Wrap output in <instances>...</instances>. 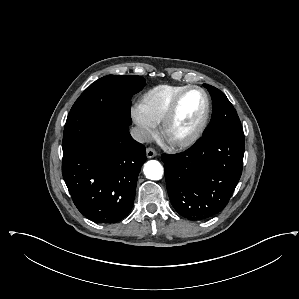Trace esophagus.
Here are the masks:
<instances>
[{
    "mask_svg": "<svg viewBox=\"0 0 299 299\" xmlns=\"http://www.w3.org/2000/svg\"><path fill=\"white\" fill-rule=\"evenodd\" d=\"M157 155V152L153 148L146 149V156L147 158H153Z\"/></svg>",
    "mask_w": 299,
    "mask_h": 299,
    "instance_id": "1",
    "label": "esophagus"
}]
</instances>
